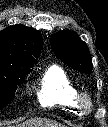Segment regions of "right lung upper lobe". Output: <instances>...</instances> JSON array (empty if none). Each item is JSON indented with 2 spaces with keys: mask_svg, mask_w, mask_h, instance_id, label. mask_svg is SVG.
<instances>
[{
  "mask_svg": "<svg viewBox=\"0 0 108 127\" xmlns=\"http://www.w3.org/2000/svg\"><path fill=\"white\" fill-rule=\"evenodd\" d=\"M42 43L40 32L33 28L21 24L7 27L0 32V58L33 66Z\"/></svg>",
  "mask_w": 108,
  "mask_h": 127,
  "instance_id": "right-lung-upper-lobe-1",
  "label": "right lung upper lobe"
}]
</instances>
